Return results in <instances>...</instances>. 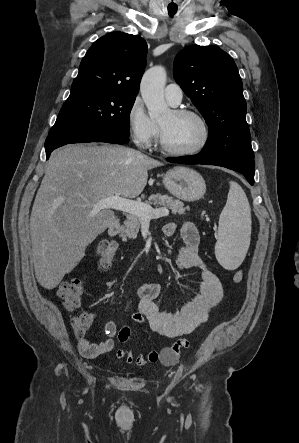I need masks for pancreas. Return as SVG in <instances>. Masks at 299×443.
<instances>
[{"mask_svg":"<svg viewBox=\"0 0 299 443\" xmlns=\"http://www.w3.org/2000/svg\"><path fill=\"white\" fill-rule=\"evenodd\" d=\"M148 205H155L158 207L169 208L173 214H185V211L189 209L184 207L183 202L174 199L173 197L156 194L149 197L148 201L145 202ZM142 219L134 214H128L127 220L125 221V228L120 231V237L123 241L126 238L135 239L140 229Z\"/></svg>","mask_w":299,"mask_h":443,"instance_id":"pancreas-1","label":"pancreas"}]
</instances>
